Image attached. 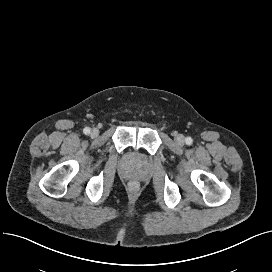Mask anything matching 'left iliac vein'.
<instances>
[{"label": "left iliac vein", "mask_w": 272, "mask_h": 272, "mask_svg": "<svg viewBox=\"0 0 272 272\" xmlns=\"http://www.w3.org/2000/svg\"><path fill=\"white\" fill-rule=\"evenodd\" d=\"M175 142L179 145H183L184 142H185V138L182 134H178L176 137H175Z\"/></svg>", "instance_id": "left-iliac-vein-1"}]
</instances>
